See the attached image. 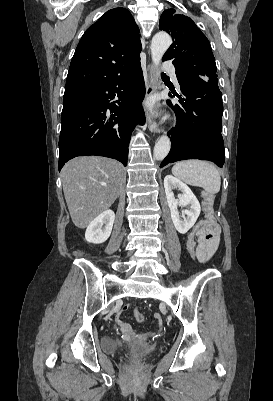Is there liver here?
<instances>
[{"label":"liver","mask_w":273,"mask_h":401,"mask_svg":"<svg viewBox=\"0 0 273 401\" xmlns=\"http://www.w3.org/2000/svg\"><path fill=\"white\" fill-rule=\"evenodd\" d=\"M124 168L104 156H77L61 170L63 192L70 217L79 229L107 211L120 194ZM106 182V184H101Z\"/></svg>","instance_id":"liver-1"}]
</instances>
